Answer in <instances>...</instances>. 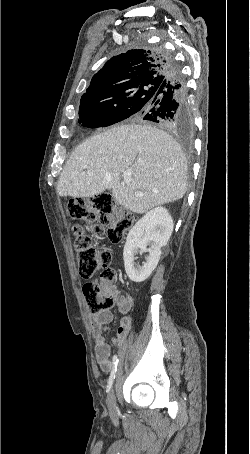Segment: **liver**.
I'll list each match as a JSON object with an SVG mask.
<instances>
[{
    "mask_svg": "<svg viewBox=\"0 0 250 454\" xmlns=\"http://www.w3.org/2000/svg\"><path fill=\"white\" fill-rule=\"evenodd\" d=\"M130 176L129 183L122 184ZM187 163L179 144L163 130L120 125L76 147L58 181L59 196L85 198L111 189L115 202L142 214L183 198Z\"/></svg>",
    "mask_w": 250,
    "mask_h": 454,
    "instance_id": "1",
    "label": "liver"
}]
</instances>
